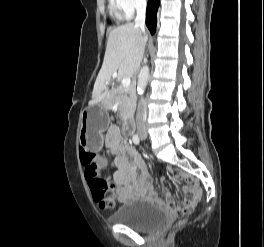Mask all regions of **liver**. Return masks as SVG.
<instances>
[{
	"mask_svg": "<svg viewBox=\"0 0 264 247\" xmlns=\"http://www.w3.org/2000/svg\"><path fill=\"white\" fill-rule=\"evenodd\" d=\"M146 42L147 35L134 23L121 25L110 32L90 106L106 99L107 85L114 73L118 79L133 77L140 67Z\"/></svg>",
	"mask_w": 264,
	"mask_h": 247,
	"instance_id": "obj_1",
	"label": "liver"
}]
</instances>
